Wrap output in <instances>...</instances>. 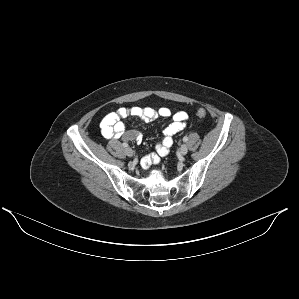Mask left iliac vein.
<instances>
[{
	"label": "left iliac vein",
	"mask_w": 299,
	"mask_h": 299,
	"mask_svg": "<svg viewBox=\"0 0 299 299\" xmlns=\"http://www.w3.org/2000/svg\"><path fill=\"white\" fill-rule=\"evenodd\" d=\"M179 152L181 155H186L188 152V147L186 144L181 145Z\"/></svg>",
	"instance_id": "obj_1"
}]
</instances>
